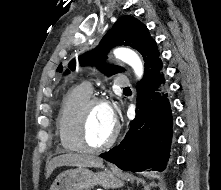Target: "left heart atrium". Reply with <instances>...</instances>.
<instances>
[{
  "label": "left heart atrium",
  "instance_id": "1",
  "mask_svg": "<svg viewBox=\"0 0 221 190\" xmlns=\"http://www.w3.org/2000/svg\"><path fill=\"white\" fill-rule=\"evenodd\" d=\"M109 114H110V119L112 121L113 124H116V121H117V115H116V112L113 108H111L109 106Z\"/></svg>",
  "mask_w": 221,
  "mask_h": 190
}]
</instances>
